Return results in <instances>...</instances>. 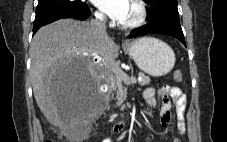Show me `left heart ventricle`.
<instances>
[{
  "label": "left heart ventricle",
  "mask_w": 227,
  "mask_h": 142,
  "mask_svg": "<svg viewBox=\"0 0 227 142\" xmlns=\"http://www.w3.org/2000/svg\"><path fill=\"white\" fill-rule=\"evenodd\" d=\"M136 14H137L136 6L134 5L133 2H131L127 16L122 22L127 23V22L132 21L136 17Z\"/></svg>",
  "instance_id": "1"
}]
</instances>
